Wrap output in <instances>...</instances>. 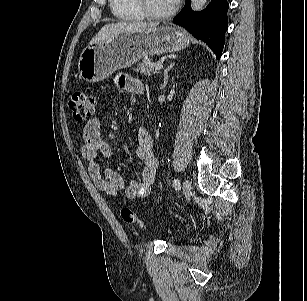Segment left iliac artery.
<instances>
[{
  "instance_id": "left-iliac-artery-1",
  "label": "left iliac artery",
  "mask_w": 307,
  "mask_h": 301,
  "mask_svg": "<svg viewBox=\"0 0 307 301\" xmlns=\"http://www.w3.org/2000/svg\"><path fill=\"white\" fill-rule=\"evenodd\" d=\"M173 186L175 187L176 190H180V182L178 179L173 180Z\"/></svg>"
}]
</instances>
